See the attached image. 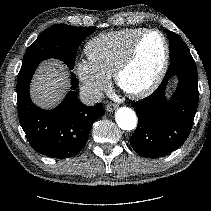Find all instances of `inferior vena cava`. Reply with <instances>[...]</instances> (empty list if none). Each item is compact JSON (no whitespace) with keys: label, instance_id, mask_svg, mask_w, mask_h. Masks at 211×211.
Instances as JSON below:
<instances>
[{"label":"inferior vena cava","instance_id":"1","mask_svg":"<svg viewBox=\"0 0 211 211\" xmlns=\"http://www.w3.org/2000/svg\"><path fill=\"white\" fill-rule=\"evenodd\" d=\"M79 97L83 104L92 106L101 101L103 93L97 88L83 86L80 89Z\"/></svg>","mask_w":211,"mask_h":211}]
</instances>
